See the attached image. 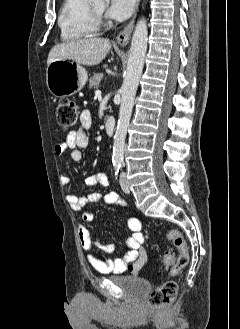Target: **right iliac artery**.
<instances>
[{
  "instance_id": "82829eb1",
  "label": "right iliac artery",
  "mask_w": 240,
  "mask_h": 329,
  "mask_svg": "<svg viewBox=\"0 0 240 329\" xmlns=\"http://www.w3.org/2000/svg\"><path fill=\"white\" fill-rule=\"evenodd\" d=\"M119 166H115V175H116V177L118 176V174H119Z\"/></svg>"
}]
</instances>
